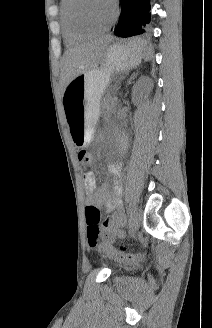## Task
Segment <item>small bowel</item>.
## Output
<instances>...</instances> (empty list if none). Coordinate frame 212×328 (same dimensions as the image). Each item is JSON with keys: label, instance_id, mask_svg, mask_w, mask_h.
<instances>
[{"label": "small bowel", "instance_id": "1", "mask_svg": "<svg viewBox=\"0 0 212 328\" xmlns=\"http://www.w3.org/2000/svg\"><path fill=\"white\" fill-rule=\"evenodd\" d=\"M121 167L118 163L109 166L110 175L118 179ZM83 182L86 191L89 193L88 203L97 209L105 208L111 213L103 222V234L107 241L113 240L116 236L122 235L121 226L124 222V216L121 213V186L118 181L115 183L113 192L111 193L107 187H98L94 174L86 171L83 175Z\"/></svg>", "mask_w": 212, "mask_h": 328}]
</instances>
